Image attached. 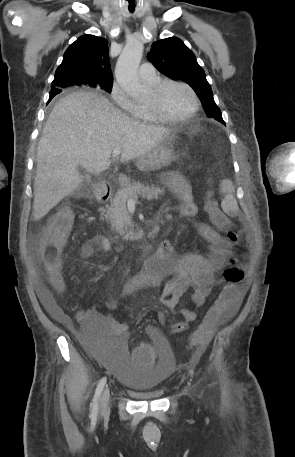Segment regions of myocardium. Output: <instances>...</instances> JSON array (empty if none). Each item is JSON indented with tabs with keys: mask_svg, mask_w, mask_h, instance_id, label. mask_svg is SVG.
Listing matches in <instances>:
<instances>
[{
	"mask_svg": "<svg viewBox=\"0 0 295 457\" xmlns=\"http://www.w3.org/2000/svg\"><path fill=\"white\" fill-rule=\"evenodd\" d=\"M170 85H177L187 89L193 100V107L190 112L181 117H169L166 116L160 109L158 98L163 90ZM152 92L154 94V100L147 103V107L152 115L160 122L163 123H181L193 118L199 111L200 102L195 90L187 83L178 80L163 79L152 86Z\"/></svg>",
	"mask_w": 295,
	"mask_h": 457,
	"instance_id": "1",
	"label": "myocardium"
}]
</instances>
